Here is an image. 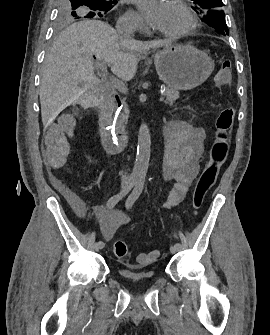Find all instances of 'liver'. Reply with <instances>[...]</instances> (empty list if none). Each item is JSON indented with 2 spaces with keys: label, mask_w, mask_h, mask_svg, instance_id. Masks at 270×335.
Wrapping results in <instances>:
<instances>
[{
  "label": "liver",
  "mask_w": 270,
  "mask_h": 335,
  "mask_svg": "<svg viewBox=\"0 0 270 335\" xmlns=\"http://www.w3.org/2000/svg\"><path fill=\"white\" fill-rule=\"evenodd\" d=\"M167 44V40H122L101 20L71 24L59 32L45 56L39 94L43 124L50 126L70 104L89 106L95 100L101 80L94 74L93 56L107 62L115 76L129 82L137 72L135 52Z\"/></svg>",
  "instance_id": "1"
}]
</instances>
